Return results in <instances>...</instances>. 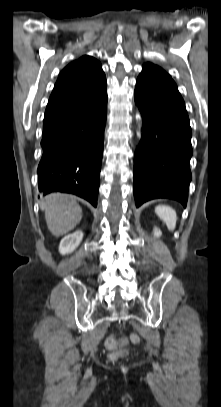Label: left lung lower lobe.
Wrapping results in <instances>:
<instances>
[{
    "label": "left lung lower lobe",
    "instance_id": "obj_1",
    "mask_svg": "<svg viewBox=\"0 0 221 407\" xmlns=\"http://www.w3.org/2000/svg\"><path fill=\"white\" fill-rule=\"evenodd\" d=\"M134 97L143 119L133 171L136 206L168 198L186 207L192 132L178 88L174 81L137 79Z\"/></svg>",
    "mask_w": 221,
    "mask_h": 407
}]
</instances>
